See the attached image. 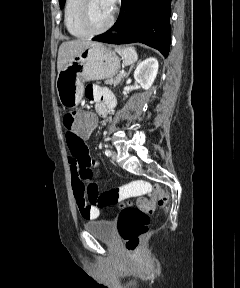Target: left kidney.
I'll list each match as a JSON object with an SVG mask.
<instances>
[{
	"label": "left kidney",
	"instance_id": "left-kidney-1",
	"mask_svg": "<svg viewBox=\"0 0 240 288\" xmlns=\"http://www.w3.org/2000/svg\"><path fill=\"white\" fill-rule=\"evenodd\" d=\"M158 61L154 57H149L138 64L134 71V79L136 82H138L141 87L145 90L149 89L158 72ZM131 82V79L127 80V84Z\"/></svg>",
	"mask_w": 240,
	"mask_h": 288
}]
</instances>
